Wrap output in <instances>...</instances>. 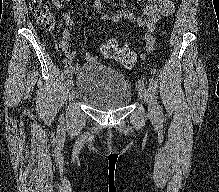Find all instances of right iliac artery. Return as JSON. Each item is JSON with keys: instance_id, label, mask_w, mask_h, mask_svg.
Listing matches in <instances>:
<instances>
[{"instance_id": "right-iliac-artery-1", "label": "right iliac artery", "mask_w": 219, "mask_h": 192, "mask_svg": "<svg viewBox=\"0 0 219 192\" xmlns=\"http://www.w3.org/2000/svg\"><path fill=\"white\" fill-rule=\"evenodd\" d=\"M67 79H71V74H67Z\"/></svg>"}]
</instances>
